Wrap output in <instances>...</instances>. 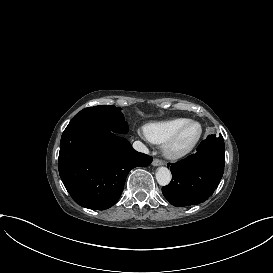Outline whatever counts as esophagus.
<instances>
[{
	"label": "esophagus",
	"instance_id": "1",
	"mask_svg": "<svg viewBox=\"0 0 273 273\" xmlns=\"http://www.w3.org/2000/svg\"><path fill=\"white\" fill-rule=\"evenodd\" d=\"M164 164V162H163V160H161V159H154L153 161H152V165L153 166H160V165H163Z\"/></svg>",
	"mask_w": 273,
	"mask_h": 273
}]
</instances>
